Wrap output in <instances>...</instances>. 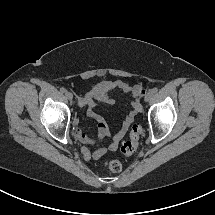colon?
Listing matches in <instances>:
<instances>
[{
	"instance_id": "obj_1",
	"label": "colon",
	"mask_w": 215,
	"mask_h": 215,
	"mask_svg": "<svg viewBox=\"0 0 215 215\" xmlns=\"http://www.w3.org/2000/svg\"><path fill=\"white\" fill-rule=\"evenodd\" d=\"M142 134V127L140 124L132 126L128 139L123 143L121 152L124 156H131L138 148L139 138ZM104 165L108 170L114 174H119L122 171V164L116 159H106Z\"/></svg>"
}]
</instances>
